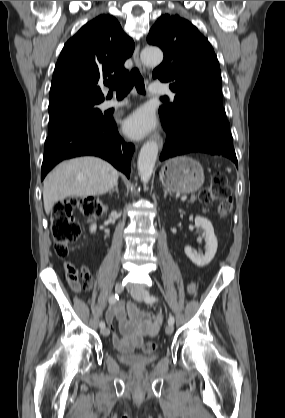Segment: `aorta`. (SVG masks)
Returning <instances> with one entry per match:
<instances>
[{
    "mask_svg": "<svg viewBox=\"0 0 285 418\" xmlns=\"http://www.w3.org/2000/svg\"><path fill=\"white\" fill-rule=\"evenodd\" d=\"M141 60L149 66H157L163 60V53L158 48L148 47L142 50ZM158 156V144L154 141L146 142L139 153L137 168L141 181L149 182Z\"/></svg>",
    "mask_w": 285,
    "mask_h": 418,
    "instance_id": "762f6f07",
    "label": "aorta"
}]
</instances>
